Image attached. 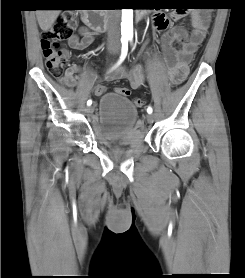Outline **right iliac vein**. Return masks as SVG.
Wrapping results in <instances>:
<instances>
[{"mask_svg": "<svg viewBox=\"0 0 245 278\" xmlns=\"http://www.w3.org/2000/svg\"><path fill=\"white\" fill-rule=\"evenodd\" d=\"M113 52H115V50H113ZM93 111H94V107H93V106H89V107H87V109H86V112H87L88 114H92Z\"/></svg>", "mask_w": 245, "mask_h": 278, "instance_id": "1", "label": "right iliac vein"}]
</instances>
